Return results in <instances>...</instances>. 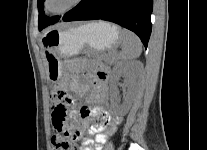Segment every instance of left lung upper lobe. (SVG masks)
<instances>
[{"instance_id":"obj_1","label":"left lung upper lobe","mask_w":207,"mask_h":150,"mask_svg":"<svg viewBox=\"0 0 207 150\" xmlns=\"http://www.w3.org/2000/svg\"><path fill=\"white\" fill-rule=\"evenodd\" d=\"M44 0H38V11H39V18H38V24H39V30H42L43 28H45L48 25L54 24L56 22H58V20L60 19L59 16H55L52 18L47 17L44 14Z\"/></svg>"}]
</instances>
